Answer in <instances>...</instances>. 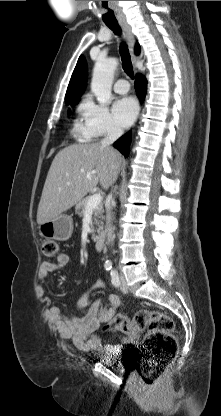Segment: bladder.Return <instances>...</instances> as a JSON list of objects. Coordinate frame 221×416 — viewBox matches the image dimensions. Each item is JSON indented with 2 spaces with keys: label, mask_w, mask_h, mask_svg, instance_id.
Returning <instances> with one entry per match:
<instances>
[{
  "label": "bladder",
  "mask_w": 221,
  "mask_h": 416,
  "mask_svg": "<svg viewBox=\"0 0 221 416\" xmlns=\"http://www.w3.org/2000/svg\"><path fill=\"white\" fill-rule=\"evenodd\" d=\"M114 357H115L114 353H107V352H104V353L102 354L103 363H104L105 365H111V366H113V367H115V368H117V369H122V368H124V366H122V365H117V364H115V363H114V359H113Z\"/></svg>",
  "instance_id": "1"
}]
</instances>
